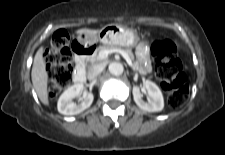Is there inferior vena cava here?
<instances>
[{
    "label": "inferior vena cava",
    "mask_w": 225,
    "mask_h": 155,
    "mask_svg": "<svg viewBox=\"0 0 225 155\" xmlns=\"http://www.w3.org/2000/svg\"><path fill=\"white\" fill-rule=\"evenodd\" d=\"M105 66L103 64H96L89 68L87 77L89 80L95 79L103 70Z\"/></svg>",
    "instance_id": "1"
}]
</instances>
